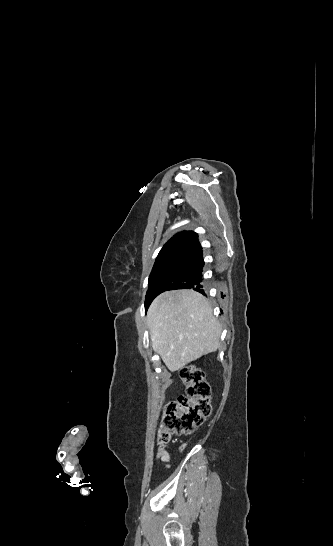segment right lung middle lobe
Here are the masks:
<instances>
[{"mask_svg":"<svg viewBox=\"0 0 333 546\" xmlns=\"http://www.w3.org/2000/svg\"><path fill=\"white\" fill-rule=\"evenodd\" d=\"M185 253L186 251L171 250V251L161 252L158 254V257L156 258L152 272L149 276V289L146 294L145 304L154 299V295L157 290V284L161 276L171 266H173Z\"/></svg>","mask_w":333,"mask_h":546,"instance_id":"1","label":"right lung middle lobe"}]
</instances>
